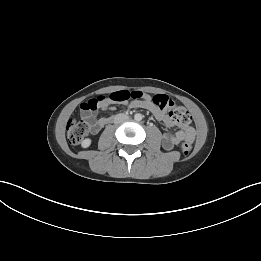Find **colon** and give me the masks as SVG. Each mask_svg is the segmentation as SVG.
<instances>
[{
	"instance_id": "1",
	"label": "colon",
	"mask_w": 261,
	"mask_h": 261,
	"mask_svg": "<svg viewBox=\"0 0 261 261\" xmlns=\"http://www.w3.org/2000/svg\"><path fill=\"white\" fill-rule=\"evenodd\" d=\"M146 95L140 91H117L110 94L108 97L99 96L88 99L80 105L81 118H71L66 126L67 137L70 143L79 144L85 135L88 133L90 126L84 117H89L90 114L96 111L99 107L107 102L116 104H126L128 102L137 103L143 101ZM151 101L161 110L168 111L169 117L180 124H189L191 116L183 106H176L174 101L166 95H155ZM193 149L192 138L184 139L181 144V152L185 157L190 156Z\"/></svg>"
}]
</instances>
